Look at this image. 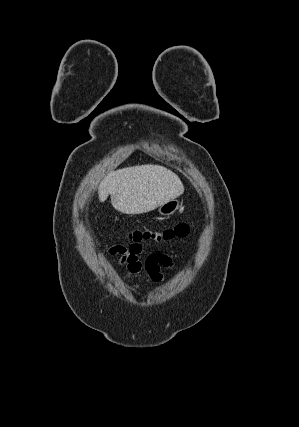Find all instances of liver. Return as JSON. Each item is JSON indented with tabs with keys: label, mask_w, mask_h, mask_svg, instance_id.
<instances>
[{
	"label": "liver",
	"mask_w": 299,
	"mask_h": 427,
	"mask_svg": "<svg viewBox=\"0 0 299 427\" xmlns=\"http://www.w3.org/2000/svg\"><path fill=\"white\" fill-rule=\"evenodd\" d=\"M183 192L179 177L159 165H138L110 172L98 187L100 202L110 195L112 206L125 214L152 211Z\"/></svg>",
	"instance_id": "6515ba94"
}]
</instances>
